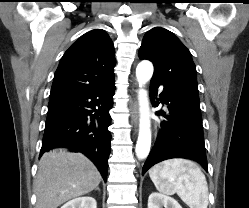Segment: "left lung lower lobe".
I'll return each instance as SVG.
<instances>
[{
	"label": "left lung lower lobe",
	"instance_id": "1",
	"mask_svg": "<svg viewBox=\"0 0 249 208\" xmlns=\"http://www.w3.org/2000/svg\"><path fill=\"white\" fill-rule=\"evenodd\" d=\"M163 85L152 78L150 97L154 107L159 105L154 97L158 87ZM163 92L157 100L167 105V111L157 112L166 118L144 166V174L153 165L171 158H186L200 163L207 171V159L203 135L202 117L199 101L172 87L163 85Z\"/></svg>",
	"mask_w": 249,
	"mask_h": 208
}]
</instances>
